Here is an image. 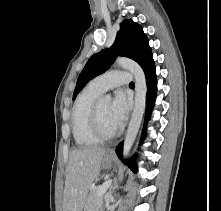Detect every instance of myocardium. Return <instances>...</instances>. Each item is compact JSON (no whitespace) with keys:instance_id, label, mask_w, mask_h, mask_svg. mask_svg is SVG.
<instances>
[{"instance_id":"myocardium-1","label":"myocardium","mask_w":221,"mask_h":211,"mask_svg":"<svg viewBox=\"0 0 221 211\" xmlns=\"http://www.w3.org/2000/svg\"><path fill=\"white\" fill-rule=\"evenodd\" d=\"M90 126L93 135L99 141L111 140L115 138L119 133L117 130L112 133H107L103 130L99 117V101H96L91 109Z\"/></svg>"}]
</instances>
